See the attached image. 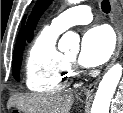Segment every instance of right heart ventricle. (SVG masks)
Returning <instances> with one entry per match:
<instances>
[{
	"instance_id": "obj_1",
	"label": "right heart ventricle",
	"mask_w": 123,
	"mask_h": 113,
	"mask_svg": "<svg viewBox=\"0 0 123 113\" xmlns=\"http://www.w3.org/2000/svg\"><path fill=\"white\" fill-rule=\"evenodd\" d=\"M60 33L46 26L35 37L25 64V83L29 90L51 94L66 86L71 71L66 56L56 46Z\"/></svg>"
}]
</instances>
